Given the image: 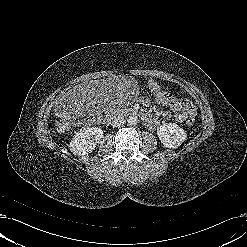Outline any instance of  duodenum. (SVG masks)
Segmentation results:
<instances>
[{"instance_id":"duodenum-1","label":"duodenum","mask_w":247,"mask_h":247,"mask_svg":"<svg viewBox=\"0 0 247 247\" xmlns=\"http://www.w3.org/2000/svg\"><path fill=\"white\" fill-rule=\"evenodd\" d=\"M124 114L127 116H140L141 115L140 111L137 109H128L127 111H125ZM121 115H122L121 113L111 115L107 120L109 121L110 119H117ZM145 119L147 120V117H145Z\"/></svg>"}]
</instances>
